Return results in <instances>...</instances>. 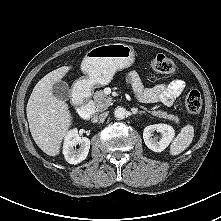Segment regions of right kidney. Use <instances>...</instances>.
<instances>
[{"instance_id": "ca27d5eb", "label": "right kidney", "mask_w": 221, "mask_h": 221, "mask_svg": "<svg viewBox=\"0 0 221 221\" xmlns=\"http://www.w3.org/2000/svg\"><path fill=\"white\" fill-rule=\"evenodd\" d=\"M79 148L76 149V145ZM90 149V140L87 137H80L77 129L70 130L65 136L63 154L70 164H78L86 159Z\"/></svg>"}]
</instances>
